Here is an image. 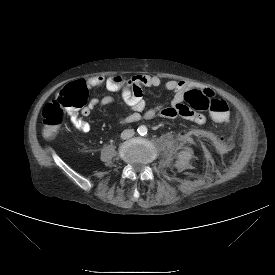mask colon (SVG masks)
<instances>
[{"label":"colon","instance_id":"obj_1","mask_svg":"<svg viewBox=\"0 0 275 275\" xmlns=\"http://www.w3.org/2000/svg\"><path fill=\"white\" fill-rule=\"evenodd\" d=\"M185 101L193 113L208 111L213 118L224 123L229 119L230 106L221 98H215L211 92L199 90L187 91ZM88 103V91L82 81L72 82L63 87L55 98L42 110V121L49 130L60 127L67 117L83 110Z\"/></svg>","mask_w":275,"mask_h":275}]
</instances>
